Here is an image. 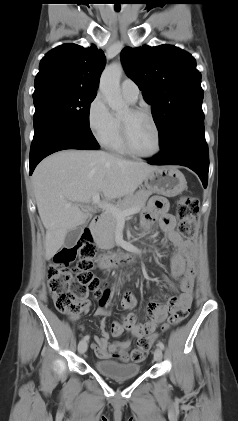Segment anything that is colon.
Returning <instances> with one entry per match:
<instances>
[{"instance_id":"5ec220e1","label":"colon","mask_w":238,"mask_h":421,"mask_svg":"<svg viewBox=\"0 0 238 421\" xmlns=\"http://www.w3.org/2000/svg\"><path fill=\"white\" fill-rule=\"evenodd\" d=\"M198 202L191 196H183L177 206L178 231L191 244L196 237V215ZM96 254L91 237L85 234L71 247L61 248L48 267V286L56 309L66 315L76 316L86 308L85 296L91 291L100 300L103 296L101 281L93 273V258ZM78 258L76 267L70 264ZM189 308L174 307L164 329L183 322ZM156 334L139 338L136 347L130 352H119L117 357L123 361L141 362L152 346Z\"/></svg>"}]
</instances>
